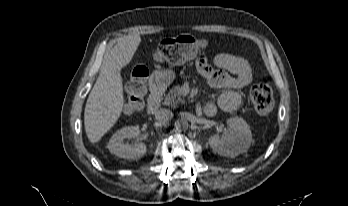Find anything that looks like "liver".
Returning <instances> with one entry per match:
<instances>
[{"instance_id": "6515ba94", "label": "liver", "mask_w": 348, "mask_h": 206, "mask_svg": "<svg viewBox=\"0 0 348 206\" xmlns=\"http://www.w3.org/2000/svg\"><path fill=\"white\" fill-rule=\"evenodd\" d=\"M140 42L138 34L121 37L104 56L84 111L85 131L91 143L98 142L121 115L124 106L121 69L131 62Z\"/></svg>"}]
</instances>
